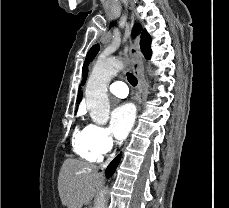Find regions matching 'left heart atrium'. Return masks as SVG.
Listing matches in <instances>:
<instances>
[{
	"label": "left heart atrium",
	"mask_w": 229,
	"mask_h": 208,
	"mask_svg": "<svg viewBox=\"0 0 229 208\" xmlns=\"http://www.w3.org/2000/svg\"><path fill=\"white\" fill-rule=\"evenodd\" d=\"M135 120V111L131 104L124 103L116 107L111 115V127L118 140H123L130 132Z\"/></svg>",
	"instance_id": "left-heart-atrium-1"
}]
</instances>
